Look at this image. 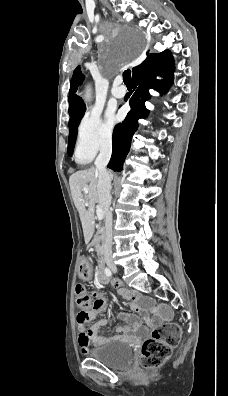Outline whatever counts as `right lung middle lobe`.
I'll use <instances>...</instances> for the list:
<instances>
[{"label":"right lung middle lobe","mask_w":228,"mask_h":396,"mask_svg":"<svg viewBox=\"0 0 228 396\" xmlns=\"http://www.w3.org/2000/svg\"><path fill=\"white\" fill-rule=\"evenodd\" d=\"M85 110L75 112L74 114L70 115L69 120V140H68V154L71 156L74 150V145L77 136V127L80 123L81 118L83 117Z\"/></svg>","instance_id":"1"}]
</instances>
